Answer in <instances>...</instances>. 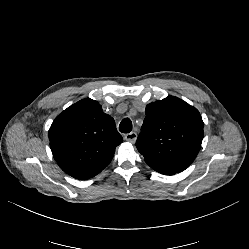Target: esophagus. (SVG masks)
Segmentation results:
<instances>
[{
	"mask_svg": "<svg viewBox=\"0 0 249 249\" xmlns=\"http://www.w3.org/2000/svg\"><path fill=\"white\" fill-rule=\"evenodd\" d=\"M137 133L136 132H129L128 134L124 135V140L128 143L134 144L137 140Z\"/></svg>",
	"mask_w": 249,
	"mask_h": 249,
	"instance_id": "obj_1",
	"label": "esophagus"
}]
</instances>
